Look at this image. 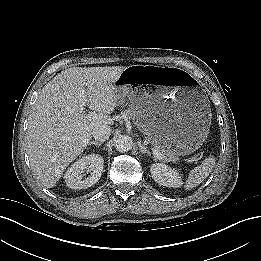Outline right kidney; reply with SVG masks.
Listing matches in <instances>:
<instances>
[{"label":"right kidney","instance_id":"ca27d5eb","mask_svg":"<svg viewBox=\"0 0 261 261\" xmlns=\"http://www.w3.org/2000/svg\"><path fill=\"white\" fill-rule=\"evenodd\" d=\"M103 163V157L98 154L82 157L67 169L64 175L66 185L71 189L91 187L101 178ZM84 172L89 173V175L83 177Z\"/></svg>","mask_w":261,"mask_h":261}]
</instances>
